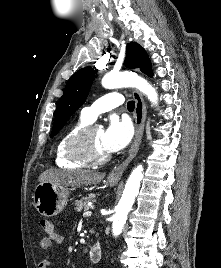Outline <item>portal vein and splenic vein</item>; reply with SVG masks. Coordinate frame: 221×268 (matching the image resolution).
<instances>
[{"instance_id": "18ae733b", "label": "portal vein and splenic vein", "mask_w": 221, "mask_h": 268, "mask_svg": "<svg viewBox=\"0 0 221 268\" xmlns=\"http://www.w3.org/2000/svg\"><path fill=\"white\" fill-rule=\"evenodd\" d=\"M91 214H92V211L87 210V211H85V212L83 213V216H84V217H87V216H91Z\"/></svg>"}]
</instances>
